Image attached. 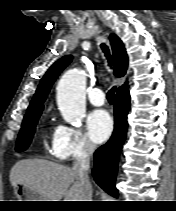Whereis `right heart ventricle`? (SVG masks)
Here are the masks:
<instances>
[{
	"label": "right heart ventricle",
	"instance_id": "obj_1",
	"mask_svg": "<svg viewBox=\"0 0 176 211\" xmlns=\"http://www.w3.org/2000/svg\"><path fill=\"white\" fill-rule=\"evenodd\" d=\"M55 135H56V129H54V130H51V129H50V137H51L52 141H53ZM51 144H52V143H51Z\"/></svg>",
	"mask_w": 176,
	"mask_h": 211
}]
</instances>
